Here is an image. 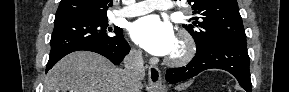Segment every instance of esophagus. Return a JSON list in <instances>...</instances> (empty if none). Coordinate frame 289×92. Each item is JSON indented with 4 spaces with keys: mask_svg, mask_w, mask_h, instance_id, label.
I'll list each match as a JSON object with an SVG mask.
<instances>
[{
    "mask_svg": "<svg viewBox=\"0 0 289 92\" xmlns=\"http://www.w3.org/2000/svg\"><path fill=\"white\" fill-rule=\"evenodd\" d=\"M148 81L152 88L161 86V72L158 67L154 65L148 66Z\"/></svg>",
    "mask_w": 289,
    "mask_h": 92,
    "instance_id": "34e87169",
    "label": "esophagus"
}]
</instances>
